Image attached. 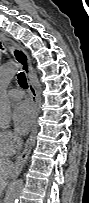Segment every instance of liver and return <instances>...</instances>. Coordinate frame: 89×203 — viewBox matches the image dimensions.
I'll list each match as a JSON object with an SVG mask.
<instances>
[{
  "label": "liver",
  "mask_w": 89,
  "mask_h": 203,
  "mask_svg": "<svg viewBox=\"0 0 89 203\" xmlns=\"http://www.w3.org/2000/svg\"><path fill=\"white\" fill-rule=\"evenodd\" d=\"M13 163L9 160L0 161V190L3 191L7 186V178L12 173Z\"/></svg>",
  "instance_id": "liver-1"
}]
</instances>
